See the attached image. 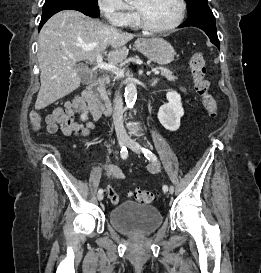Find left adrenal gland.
<instances>
[{"mask_svg":"<svg viewBox=\"0 0 261 273\" xmlns=\"http://www.w3.org/2000/svg\"><path fill=\"white\" fill-rule=\"evenodd\" d=\"M158 81H159L158 78L153 79V80L151 81V85H152V86H155V85L157 84Z\"/></svg>","mask_w":261,"mask_h":273,"instance_id":"a2214340","label":"left adrenal gland"}]
</instances>
